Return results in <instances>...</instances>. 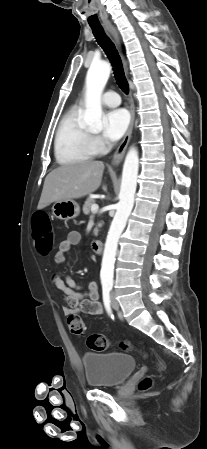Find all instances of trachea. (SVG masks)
I'll return each instance as SVG.
<instances>
[{
	"label": "trachea",
	"mask_w": 207,
	"mask_h": 449,
	"mask_svg": "<svg viewBox=\"0 0 207 449\" xmlns=\"http://www.w3.org/2000/svg\"><path fill=\"white\" fill-rule=\"evenodd\" d=\"M91 28L98 44L104 50L105 54L107 55L108 59L110 60L113 66L114 76L117 84L125 94H128L129 92L128 81L126 79L122 61L116 47L111 42V40L105 35L102 26H91Z\"/></svg>",
	"instance_id": "3493384b"
}]
</instances>
